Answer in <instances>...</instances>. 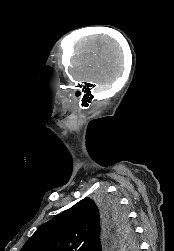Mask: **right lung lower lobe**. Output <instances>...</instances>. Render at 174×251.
<instances>
[{
	"mask_svg": "<svg viewBox=\"0 0 174 251\" xmlns=\"http://www.w3.org/2000/svg\"><path fill=\"white\" fill-rule=\"evenodd\" d=\"M103 227H104V234H103L101 243H102V247L105 248L112 240L111 236L114 231V228L106 220H104Z\"/></svg>",
	"mask_w": 174,
	"mask_h": 251,
	"instance_id": "98d812e1",
	"label": "right lung lower lobe"
}]
</instances>
